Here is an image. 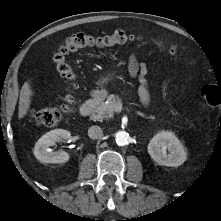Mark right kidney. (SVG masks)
<instances>
[{"label":"right kidney","mask_w":221,"mask_h":221,"mask_svg":"<svg viewBox=\"0 0 221 221\" xmlns=\"http://www.w3.org/2000/svg\"><path fill=\"white\" fill-rule=\"evenodd\" d=\"M71 138V133L64 129H55L47 132L36 143L34 147L35 157L42 163H65L70 156L65 151L53 152L49 147L56 142Z\"/></svg>","instance_id":"right-kidney-1"}]
</instances>
